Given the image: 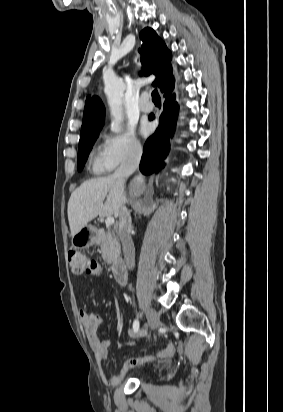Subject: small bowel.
<instances>
[{"mask_svg":"<svg viewBox=\"0 0 283 412\" xmlns=\"http://www.w3.org/2000/svg\"><path fill=\"white\" fill-rule=\"evenodd\" d=\"M102 273L103 268L100 264L97 265L96 270L89 272V274H91L95 278H100L102 276ZM79 318L85 330L88 341L94 351L96 360L99 364H101L107 359L108 352L111 347V342L109 340L102 341L98 335V330L103 323V318L99 314L88 312L85 309L79 310ZM135 333L137 332H135L134 329L129 330V335L133 336ZM145 333L146 331L143 330L140 332V335H144ZM174 354L175 346L172 343H168L164 348H162L158 352L157 357L160 359H167L173 357ZM151 360L152 358L149 356H138L129 358L123 363L119 375L107 378L103 371H101V373L107 383L111 385H116L121 381V379L129 371V369H131L134 366L149 362Z\"/></svg>","mask_w":283,"mask_h":412,"instance_id":"c3829d8e","label":"small bowel"}]
</instances>
